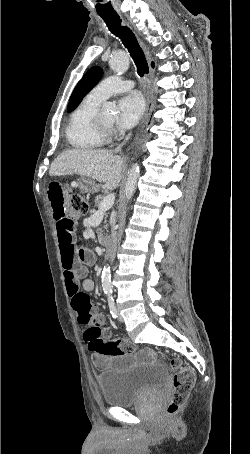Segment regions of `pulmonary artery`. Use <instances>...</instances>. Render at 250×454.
Listing matches in <instances>:
<instances>
[{"mask_svg":"<svg viewBox=\"0 0 250 454\" xmlns=\"http://www.w3.org/2000/svg\"><path fill=\"white\" fill-rule=\"evenodd\" d=\"M133 80H123L119 76H110L102 80L90 93L93 100L102 102L115 93L124 92L133 88Z\"/></svg>","mask_w":250,"mask_h":454,"instance_id":"obj_1","label":"pulmonary artery"}]
</instances>
